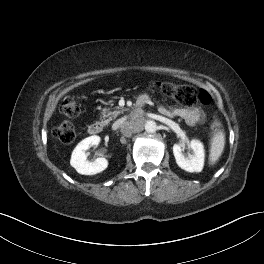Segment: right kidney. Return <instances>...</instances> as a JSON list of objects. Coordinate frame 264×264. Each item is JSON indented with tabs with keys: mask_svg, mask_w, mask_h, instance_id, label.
<instances>
[{
	"mask_svg": "<svg viewBox=\"0 0 264 264\" xmlns=\"http://www.w3.org/2000/svg\"><path fill=\"white\" fill-rule=\"evenodd\" d=\"M99 142V136H90L82 140L73 150L70 164L79 174L95 175L108 167V160L106 158H97L93 162L87 160L86 150L92 146H97Z\"/></svg>",
	"mask_w": 264,
	"mask_h": 264,
	"instance_id": "ca27d5eb",
	"label": "right kidney"
}]
</instances>
